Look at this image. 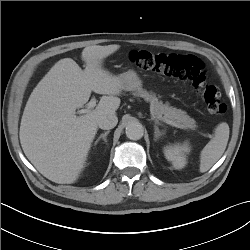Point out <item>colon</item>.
I'll return each mask as SVG.
<instances>
[{
  "mask_svg": "<svg viewBox=\"0 0 250 250\" xmlns=\"http://www.w3.org/2000/svg\"><path fill=\"white\" fill-rule=\"evenodd\" d=\"M129 59L143 70L191 82L205 102L210 114L222 116L226 113V104L221 99L218 90L207 84L204 64L196 56L134 50L130 52Z\"/></svg>",
  "mask_w": 250,
  "mask_h": 250,
  "instance_id": "obj_1",
  "label": "colon"
}]
</instances>
